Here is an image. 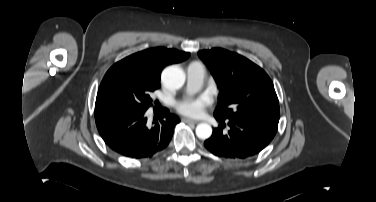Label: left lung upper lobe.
<instances>
[{
	"label": "left lung upper lobe",
	"instance_id": "obj_1",
	"mask_svg": "<svg viewBox=\"0 0 376 202\" xmlns=\"http://www.w3.org/2000/svg\"><path fill=\"white\" fill-rule=\"evenodd\" d=\"M198 55L220 89L215 117L257 120L278 127V98L271 79L259 66L221 48L202 50Z\"/></svg>",
	"mask_w": 376,
	"mask_h": 202
}]
</instances>
